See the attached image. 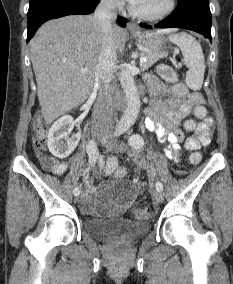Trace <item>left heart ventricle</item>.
<instances>
[{
    "label": "left heart ventricle",
    "mask_w": 233,
    "mask_h": 284,
    "mask_svg": "<svg viewBox=\"0 0 233 284\" xmlns=\"http://www.w3.org/2000/svg\"><path fill=\"white\" fill-rule=\"evenodd\" d=\"M168 0H139L133 6L140 12L154 14L167 6Z\"/></svg>",
    "instance_id": "obj_1"
}]
</instances>
